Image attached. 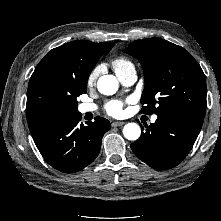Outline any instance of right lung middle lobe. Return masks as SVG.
Returning a JSON list of instances; mask_svg holds the SVG:
<instances>
[{
    "instance_id": "1",
    "label": "right lung middle lobe",
    "mask_w": 221,
    "mask_h": 221,
    "mask_svg": "<svg viewBox=\"0 0 221 221\" xmlns=\"http://www.w3.org/2000/svg\"><path fill=\"white\" fill-rule=\"evenodd\" d=\"M109 50H104L102 52H99L95 54L91 59L77 63L75 67L76 79L75 78L70 79L71 96L69 99V106L64 109L65 112L68 113L78 112L77 110L78 102L76 99L79 95L86 93L87 80L90 75V72L96 65L99 57L109 52Z\"/></svg>"
}]
</instances>
